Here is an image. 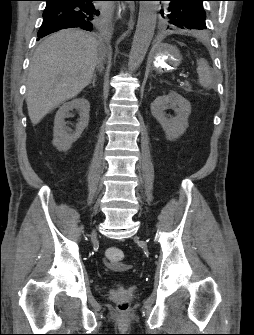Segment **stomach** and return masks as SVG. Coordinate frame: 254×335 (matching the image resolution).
Segmentation results:
<instances>
[{"label":"stomach","instance_id":"stomach-1","mask_svg":"<svg viewBox=\"0 0 254 335\" xmlns=\"http://www.w3.org/2000/svg\"><path fill=\"white\" fill-rule=\"evenodd\" d=\"M150 61L157 72L164 73L176 69L182 61V56L176 46L161 43L155 47Z\"/></svg>","mask_w":254,"mask_h":335}]
</instances>
